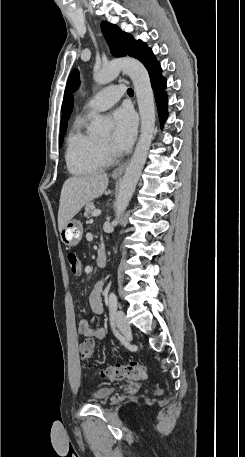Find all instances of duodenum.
Returning a JSON list of instances; mask_svg holds the SVG:
<instances>
[{
	"label": "duodenum",
	"instance_id": "obj_1",
	"mask_svg": "<svg viewBox=\"0 0 245 457\" xmlns=\"http://www.w3.org/2000/svg\"><path fill=\"white\" fill-rule=\"evenodd\" d=\"M107 262V256L103 249L99 250L96 257V264L98 267H104Z\"/></svg>",
	"mask_w": 245,
	"mask_h": 457
}]
</instances>
